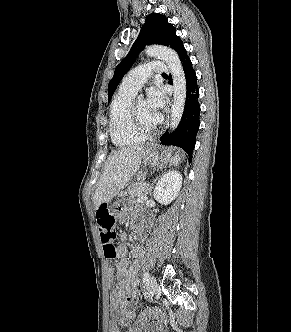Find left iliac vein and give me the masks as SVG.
<instances>
[{
  "instance_id": "obj_1",
  "label": "left iliac vein",
  "mask_w": 291,
  "mask_h": 332,
  "mask_svg": "<svg viewBox=\"0 0 291 332\" xmlns=\"http://www.w3.org/2000/svg\"><path fill=\"white\" fill-rule=\"evenodd\" d=\"M157 292V282L154 276H151L147 285V298L152 299Z\"/></svg>"
}]
</instances>
